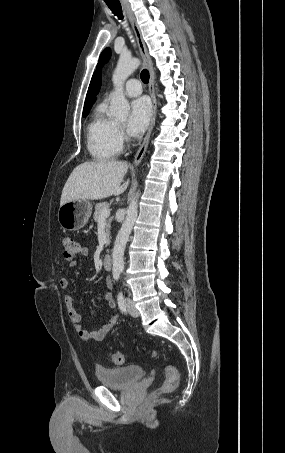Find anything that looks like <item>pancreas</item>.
<instances>
[{"mask_svg": "<svg viewBox=\"0 0 285 453\" xmlns=\"http://www.w3.org/2000/svg\"><path fill=\"white\" fill-rule=\"evenodd\" d=\"M108 208H109V203H107V202L97 203L95 206L94 220L97 222L100 219L102 211L104 209H108ZM110 222H111V219L108 220V223L106 225L107 236H109V234H110Z\"/></svg>", "mask_w": 285, "mask_h": 453, "instance_id": "obj_1", "label": "pancreas"}]
</instances>
